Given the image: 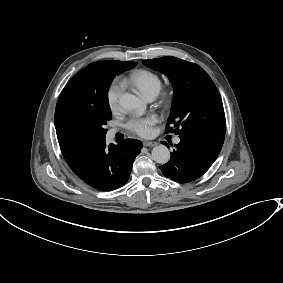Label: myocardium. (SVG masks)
Here are the masks:
<instances>
[{
	"label": "myocardium",
	"instance_id": "obj_1",
	"mask_svg": "<svg viewBox=\"0 0 283 283\" xmlns=\"http://www.w3.org/2000/svg\"><path fill=\"white\" fill-rule=\"evenodd\" d=\"M167 101V94L166 93H163L162 96H161V103L162 104H165Z\"/></svg>",
	"mask_w": 283,
	"mask_h": 283
}]
</instances>
